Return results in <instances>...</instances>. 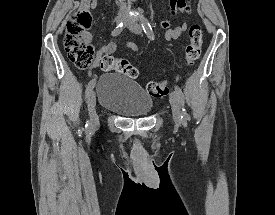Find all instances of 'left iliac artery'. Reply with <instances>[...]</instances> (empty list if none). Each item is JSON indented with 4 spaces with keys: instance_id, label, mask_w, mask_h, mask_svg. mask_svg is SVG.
Wrapping results in <instances>:
<instances>
[{
    "instance_id": "obj_1",
    "label": "left iliac artery",
    "mask_w": 275,
    "mask_h": 215,
    "mask_svg": "<svg viewBox=\"0 0 275 215\" xmlns=\"http://www.w3.org/2000/svg\"><path fill=\"white\" fill-rule=\"evenodd\" d=\"M141 18H142V28H143L145 34L151 40H154V33L152 31L151 25L149 24L148 20L143 16V14H141ZM175 92L178 95V97L180 99V102H181V105H182L181 119H183V121L186 122L187 120L190 119V116H189V114L186 112V110L184 108V103H185L184 95H183L181 89L177 85H175Z\"/></svg>"
}]
</instances>
